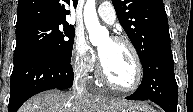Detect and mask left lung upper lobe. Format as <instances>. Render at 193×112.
I'll return each mask as SVG.
<instances>
[{
  "instance_id": "1",
  "label": "left lung upper lobe",
  "mask_w": 193,
  "mask_h": 112,
  "mask_svg": "<svg viewBox=\"0 0 193 112\" xmlns=\"http://www.w3.org/2000/svg\"><path fill=\"white\" fill-rule=\"evenodd\" d=\"M118 20L135 47L141 63L161 42L170 40L162 0H112Z\"/></svg>"
}]
</instances>
